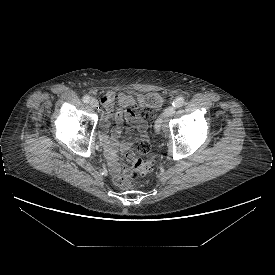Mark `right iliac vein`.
<instances>
[{
  "mask_svg": "<svg viewBox=\"0 0 275 275\" xmlns=\"http://www.w3.org/2000/svg\"><path fill=\"white\" fill-rule=\"evenodd\" d=\"M89 104L92 108H97L98 107V101L94 98L90 100Z\"/></svg>",
  "mask_w": 275,
  "mask_h": 275,
  "instance_id": "obj_1",
  "label": "right iliac vein"
}]
</instances>
